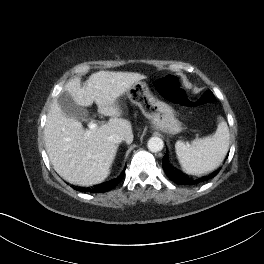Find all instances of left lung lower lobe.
<instances>
[{"mask_svg":"<svg viewBox=\"0 0 264 264\" xmlns=\"http://www.w3.org/2000/svg\"><path fill=\"white\" fill-rule=\"evenodd\" d=\"M162 166L163 169L166 173V175L169 177V179L179 185H193V184H198L201 183L205 180L211 179L214 176H216L219 172V170L215 171L214 173L206 176V177H202V178H198V179H192L190 177H188L187 175L183 174L181 171L174 169V167H172L166 160V157L164 156L162 159Z\"/></svg>","mask_w":264,"mask_h":264,"instance_id":"0a47b994","label":"left lung lower lobe"}]
</instances>
